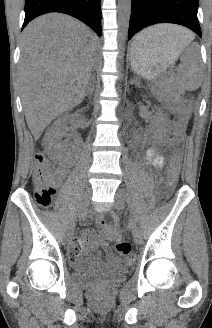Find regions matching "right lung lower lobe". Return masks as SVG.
Segmentation results:
<instances>
[{
  "label": "right lung lower lobe",
  "mask_w": 212,
  "mask_h": 328,
  "mask_svg": "<svg viewBox=\"0 0 212 328\" xmlns=\"http://www.w3.org/2000/svg\"><path fill=\"white\" fill-rule=\"evenodd\" d=\"M101 0H26L24 27L34 18L49 12H60L71 15L88 26L99 36L101 29Z\"/></svg>",
  "instance_id": "98d812e1"
}]
</instances>
